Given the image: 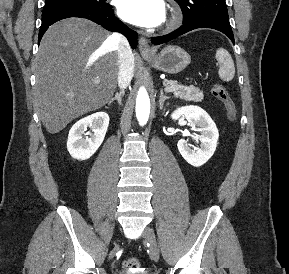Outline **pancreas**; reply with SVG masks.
<instances>
[{"mask_svg": "<svg viewBox=\"0 0 289 274\" xmlns=\"http://www.w3.org/2000/svg\"><path fill=\"white\" fill-rule=\"evenodd\" d=\"M164 83L166 86L174 88L171 92L177 98L193 102H200L204 98L203 92L198 87L184 86L173 80H165Z\"/></svg>", "mask_w": 289, "mask_h": 274, "instance_id": "cf45deb5", "label": "pancreas"}]
</instances>
